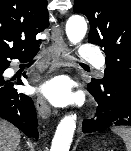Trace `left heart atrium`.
Listing matches in <instances>:
<instances>
[{
    "label": "left heart atrium",
    "instance_id": "39dd6f15",
    "mask_svg": "<svg viewBox=\"0 0 131 151\" xmlns=\"http://www.w3.org/2000/svg\"><path fill=\"white\" fill-rule=\"evenodd\" d=\"M40 90L57 105H64L73 99L70 84L63 78L47 82Z\"/></svg>",
    "mask_w": 131,
    "mask_h": 151
}]
</instances>
